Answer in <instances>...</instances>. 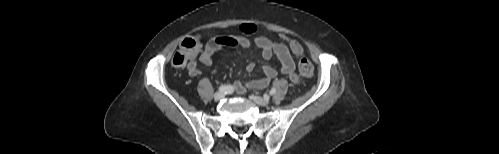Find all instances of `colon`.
<instances>
[{
	"instance_id": "1",
	"label": "colon",
	"mask_w": 499,
	"mask_h": 154,
	"mask_svg": "<svg viewBox=\"0 0 499 154\" xmlns=\"http://www.w3.org/2000/svg\"><path fill=\"white\" fill-rule=\"evenodd\" d=\"M290 49L294 54L301 55L302 46L295 40L286 38ZM202 50L201 38L198 35L187 36L180 44L172 58V64L181 67L194 62ZM299 71L303 77L311 78L313 76V65L309 59L302 57L299 61Z\"/></svg>"
}]
</instances>
